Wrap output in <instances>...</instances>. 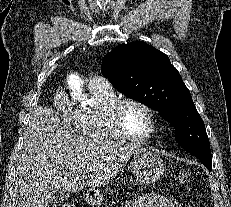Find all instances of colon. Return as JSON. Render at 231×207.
Instances as JSON below:
<instances>
[{
	"label": "colon",
	"mask_w": 231,
	"mask_h": 207,
	"mask_svg": "<svg viewBox=\"0 0 231 207\" xmlns=\"http://www.w3.org/2000/svg\"><path fill=\"white\" fill-rule=\"evenodd\" d=\"M175 179L177 180V182L183 186V187H190L191 186V179L190 177L186 174V173H177L175 175ZM59 207H72L70 204H62Z\"/></svg>",
	"instance_id": "5ec220e1"
}]
</instances>
